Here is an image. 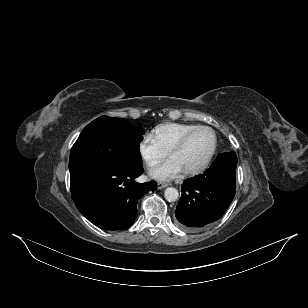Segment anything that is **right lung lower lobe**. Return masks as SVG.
<instances>
[{"instance_id": "98d812e1", "label": "right lung lower lobe", "mask_w": 308, "mask_h": 308, "mask_svg": "<svg viewBox=\"0 0 308 308\" xmlns=\"http://www.w3.org/2000/svg\"><path fill=\"white\" fill-rule=\"evenodd\" d=\"M142 166L132 169L84 166L70 170L73 201L79 211L104 230H121L137 217V202L156 183H137Z\"/></svg>"}]
</instances>
